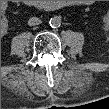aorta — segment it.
Masks as SVG:
<instances>
[{"label": "aorta", "instance_id": "762f6f07", "mask_svg": "<svg viewBox=\"0 0 109 109\" xmlns=\"http://www.w3.org/2000/svg\"><path fill=\"white\" fill-rule=\"evenodd\" d=\"M49 24L52 28H58L61 25V17L54 16L50 19Z\"/></svg>", "mask_w": 109, "mask_h": 109}]
</instances>
